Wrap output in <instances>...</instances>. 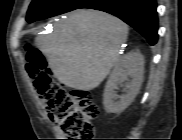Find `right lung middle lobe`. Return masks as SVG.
I'll list each match as a JSON object with an SVG mask.
<instances>
[{"instance_id":"dd1d6c3e","label":"right lung middle lobe","mask_w":182,"mask_h":140,"mask_svg":"<svg viewBox=\"0 0 182 140\" xmlns=\"http://www.w3.org/2000/svg\"><path fill=\"white\" fill-rule=\"evenodd\" d=\"M88 0H33L27 12V21L34 22L79 8Z\"/></svg>"}]
</instances>
